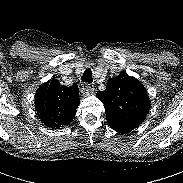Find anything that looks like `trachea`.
Masks as SVG:
<instances>
[{"instance_id": "obj_1", "label": "trachea", "mask_w": 183, "mask_h": 183, "mask_svg": "<svg viewBox=\"0 0 183 183\" xmlns=\"http://www.w3.org/2000/svg\"><path fill=\"white\" fill-rule=\"evenodd\" d=\"M82 82L92 83V71L91 69H86L81 77Z\"/></svg>"}]
</instances>
